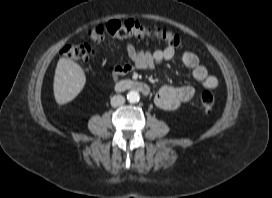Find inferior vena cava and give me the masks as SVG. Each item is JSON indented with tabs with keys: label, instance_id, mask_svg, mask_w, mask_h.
<instances>
[{
	"label": "inferior vena cava",
	"instance_id": "obj_1",
	"mask_svg": "<svg viewBox=\"0 0 272 198\" xmlns=\"http://www.w3.org/2000/svg\"><path fill=\"white\" fill-rule=\"evenodd\" d=\"M125 103V97L122 95H114L111 98V106L118 107Z\"/></svg>",
	"mask_w": 272,
	"mask_h": 198
}]
</instances>
